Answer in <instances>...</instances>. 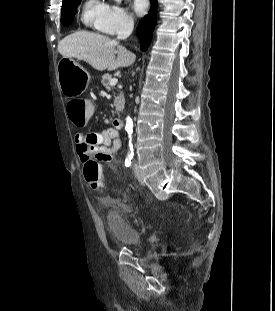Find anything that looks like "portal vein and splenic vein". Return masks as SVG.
Listing matches in <instances>:
<instances>
[{
  "mask_svg": "<svg viewBox=\"0 0 275 311\" xmlns=\"http://www.w3.org/2000/svg\"><path fill=\"white\" fill-rule=\"evenodd\" d=\"M117 82H118L117 79H112V80L110 81V85H111V86H114V85L117 84Z\"/></svg>",
  "mask_w": 275,
  "mask_h": 311,
  "instance_id": "1",
  "label": "portal vein and splenic vein"
}]
</instances>
